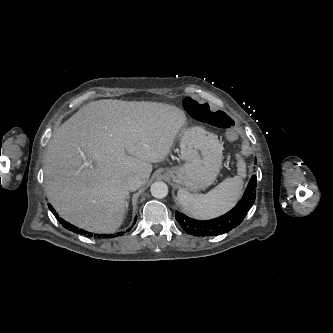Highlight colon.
<instances>
[{
    "label": "colon",
    "instance_id": "1",
    "mask_svg": "<svg viewBox=\"0 0 333 333\" xmlns=\"http://www.w3.org/2000/svg\"><path fill=\"white\" fill-rule=\"evenodd\" d=\"M183 105L187 112L200 122H204L219 129L234 130L232 118L221 110L213 109L210 104L206 102L193 97H187Z\"/></svg>",
    "mask_w": 333,
    "mask_h": 333
}]
</instances>
